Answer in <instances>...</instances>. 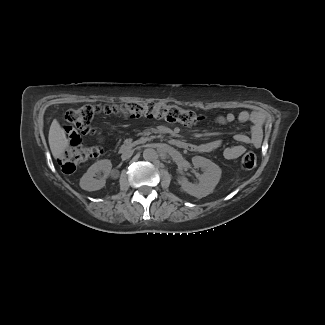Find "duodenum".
<instances>
[{"label": "duodenum", "instance_id": "1", "mask_svg": "<svg viewBox=\"0 0 325 325\" xmlns=\"http://www.w3.org/2000/svg\"><path fill=\"white\" fill-rule=\"evenodd\" d=\"M170 145L181 150L189 149L192 146L190 143L179 139H170ZM131 148V143H124L120 146V152L122 154L128 153Z\"/></svg>", "mask_w": 325, "mask_h": 325}]
</instances>
